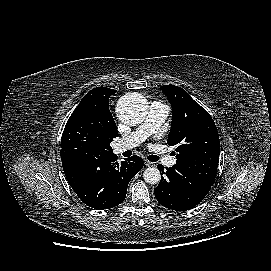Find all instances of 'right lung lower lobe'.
Returning <instances> with one entry per match:
<instances>
[{"mask_svg":"<svg viewBox=\"0 0 271 271\" xmlns=\"http://www.w3.org/2000/svg\"><path fill=\"white\" fill-rule=\"evenodd\" d=\"M116 159L113 153H61L68 183L86 205L98 210L121 204L130 180L143 167V160L138 156L127 158L120 164Z\"/></svg>","mask_w":271,"mask_h":271,"instance_id":"1","label":"right lung lower lobe"}]
</instances>
